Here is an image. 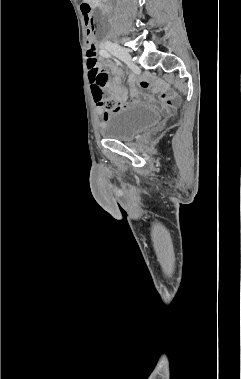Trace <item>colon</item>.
<instances>
[{
  "label": "colon",
  "mask_w": 241,
  "mask_h": 379,
  "mask_svg": "<svg viewBox=\"0 0 241 379\" xmlns=\"http://www.w3.org/2000/svg\"><path fill=\"white\" fill-rule=\"evenodd\" d=\"M81 10L83 15L87 20L90 18L91 9L86 5L82 4ZM93 29L87 30V39H88V51H87V62L89 70H87L88 82L91 83V88L93 89V96L97 103L106 111L112 112L120 108L119 103L108 96L104 92V86L106 83L107 75L106 73L98 67L97 65V53L96 48L93 42Z\"/></svg>",
  "instance_id": "5ec220e1"
}]
</instances>
